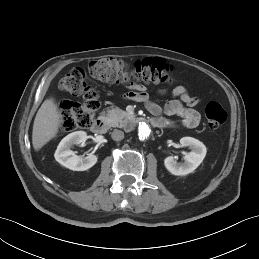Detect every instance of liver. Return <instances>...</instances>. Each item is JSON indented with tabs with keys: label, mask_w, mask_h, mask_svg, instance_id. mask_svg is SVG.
I'll return each mask as SVG.
<instances>
[{
	"label": "liver",
	"mask_w": 259,
	"mask_h": 259,
	"mask_svg": "<svg viewBox=\"0 0 259 259\" xmlns=\"http://www.w3.org/2000/svg\"><path fill=\"white\" fill-rule=\"evenodd\" d=\"M62 115L53 98L46 99L39 108L32 132V144L35 151H39L53 139L59 130Z\"/></svg>",
	"instance_id": "obj_1"
}]
</instances>
